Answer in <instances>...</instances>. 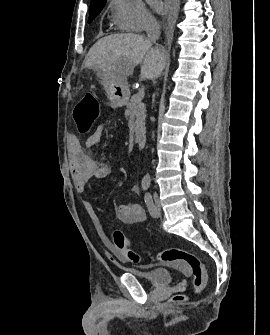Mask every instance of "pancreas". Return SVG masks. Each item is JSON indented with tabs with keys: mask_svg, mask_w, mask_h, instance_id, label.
<instances>
[{
	"mask_svg": "<svg viewBox=\"0 0 270 335\" xmlns=\"http://www.w3.org/2000/svg\"><path fill=\"white\" fill-rule=\"evenodd\" d=\"M126 106L127 108H129V110H132V114L134 118H136L135 126H136V134H137V132H139L140 130L139 128L140 124H142V122H144L145 120V110H139L138 106H132V102H128Z\"/></svg>",
	"mask_w": 270,
	"mask_h": 335,
	"instance_id": "1",
	"label": "pancreas"
}]
</instances>
